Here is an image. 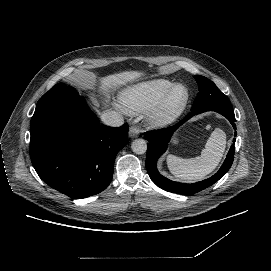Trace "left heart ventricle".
Listing matches in <instances>:
<instances>
[{
	"instance_id": "b2bd125f",
	"label": "left heart ventricle",
	"mask_w": 271,
	"mask_h": 271,
	"mask_svg": "<svg viewBox=\"0 0 271 271\" xmlns=\"http://www.w3.org/2000/svg\"><path fill=\"white\" fill-rule=\"evenodd\" d=\"M186 94V90L184 88H179L175 94L174 101L179 102L181 101Z\"/></svg>"
}]
</instances>
